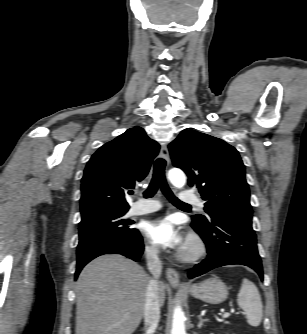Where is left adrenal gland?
Wrapping results in <instances>:
<instances>
[{"label":"left adrenal gland","mask_w":307,"mask_h":334,"mask_svg":"<svg viewBox=\"0 0 307 334\" xmlns=\"http://www.w3.org/2000/svg\"><path fill=\"white\" fill-rule=\"evenodd\" d=\"M198 319H199V323L197 327L200 329L203 326L204 322H207L208 319H203L201 315L198 316Z\"/></svg>","instance_id":"1"}]
</instances>
